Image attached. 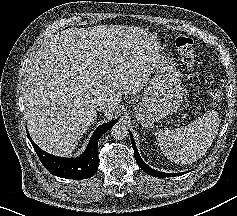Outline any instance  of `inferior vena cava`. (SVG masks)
I'll list each match as a JSON object with an SVG mask.
<instances>
[{
    "label": "inferior vena cava",
    "mask_w": 237,
    "mask_h": 216,
    "mask_svg": "<svg viewBox=\"0 0 237 216\" xmlns=\"http://www.w3.org/2000/svg\"><path fill=\"white\" fill-rule=\"evenodd\" d=\"M98 110L101 111H114L117 108L116 103H111L109 100H99L97 103Z\"/></svg>",
    "instance_id": "inferior-vena-cava-1"
}]
</instances>
